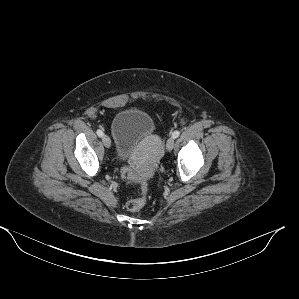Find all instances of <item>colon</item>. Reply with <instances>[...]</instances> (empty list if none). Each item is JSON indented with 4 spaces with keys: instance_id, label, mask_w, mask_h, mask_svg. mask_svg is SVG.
<instances>
[{
    "instance_id": "1",
    "label": "colon",
    "mask_w": 299,
    "mask_h": 299,
    "mask_svg": "<svg viewBox=\"0 0 299 299\" xmlns=\"http://www.w3.org/2000/svg\"><path fill=\"white\" fill-rule=\"evenodd\" d=\"M122 177L127 181L137 182L134 177V172L131 167L124 166L121 169ZM142 197L131 199L127 202L126 207L129 211L136 212L143 208L145 205V194L147 192V184L145 182H140Z\"/></svg>"
}]
</instances>
